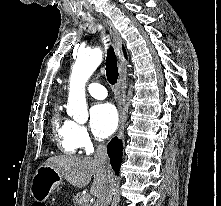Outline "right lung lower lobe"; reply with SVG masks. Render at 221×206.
<instances>
[{
	"instance_id": "obj_1",
	"label": "right lung lower lobe",
	"mask_w": 221,
	"mask_h": 206,
	"mask_svg": "<svg viewBox=\"0 0 221 206\" xmlns=\"http://www.w3.org/2000/svg\"><path fill=\"white\" fill-rule=\"evenodd\" d=\"M122 150V141L117 137L113 138L107 146V153L110 158L111 166L117 176L119 175L120 164L122 162Z\"/></svg>"
}]
</instances>
